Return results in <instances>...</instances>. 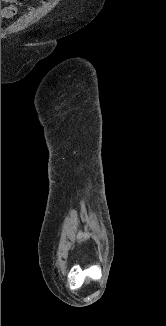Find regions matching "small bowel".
I'll use <instances>...</instances> for the list:
<instances>
[{"mask_svg": "<svg viewBox=\"0 0 166 326\" xmlns=\"http://www.w3.org/2000/svg\"><path fill=\"white\" fill-rule=\"evenodd\" d=\"M1 2L7 5L1 9V18H12L19 13L21 7L20 0H1Z\"/></svg>", "mask_w": 166, "mask_h": 326, "instance_id": "obj_1", "label": "small bowel"}]
</instances>
